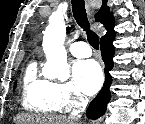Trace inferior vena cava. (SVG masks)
Wrapping results in <instances>:
<instances>
[{
  "label": "inferior vena cava",
  "mask_w": 145,
  "mask_h": 124,
  "mask_svg": "<svg viewBox=\"0 0 145 124\" xmlns=\"http://www.w3.org/2000/svg\"><path fill=\"white\" fill-rule=\"evenodd\" d=\"M87 103H88L87 100H82V101H81V104H80V106H82V108H81V107H80V108L78 107V108H79V109H84V108L86 107ZM80 117H81V114H80L79 111L76 112V113H73V114L71 115V118H72V119H76V120L80 119Z\"/></svg>",
  "instance_id": "inferior-vena-cava-1"
}]
</instances>
